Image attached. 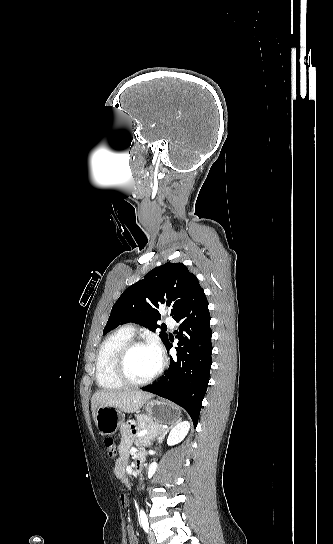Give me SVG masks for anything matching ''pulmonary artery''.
I'll list each match as a JSON object with an SVG mask.
<instances>
[{
  "label": "pulmonary artery",
  "mask_w": 333,
  "mask_h": 544,
  "mask_svg": "<svg viewBox=\"0 0 333 544\" xmlns=\"http://www.w3.org/2000/svg\"><path fill=\"white\" fill-rule=\"evenodd\" d=\"M166 323L169 324L170 326H174L175 325V321L172 317L168 316L166 318ZM127 331H129L130 333L134 334V328L131 326V325H127L124 327Z\"/></svg>",
  "instance_id": "e3ab8cb5"
}]
</instances>
